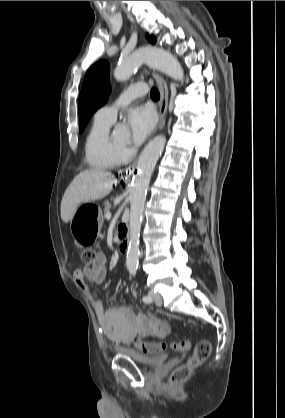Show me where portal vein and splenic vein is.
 I'll use <instances>...</instances> for the list:
<instances>
[{"label":"portal vein and splenic vein","instance_id":"obj_1","mask_svg":"<svg viewBox=\"0 0 285 418\" xmlns=\"http://www.w3.org/2000/svg\"><path fill=\"white\" fill-rule=\"evenodd\" d=\"M105 217L106 219H111V213L110 212L106 213Z\"/></svg>","mask_w":285,"mask_h":418}]
</instances>
